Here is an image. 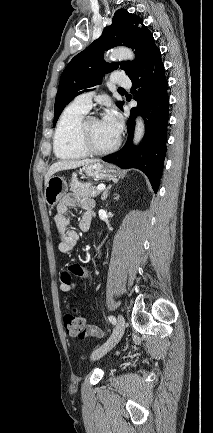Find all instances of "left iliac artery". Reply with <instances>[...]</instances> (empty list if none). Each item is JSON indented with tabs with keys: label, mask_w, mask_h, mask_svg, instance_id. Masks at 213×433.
Here are the masks:
<instances>
[{
	"label": "left iliac artery",
	"mask_w": 213,
	"mask_h": 433,
	"mask_svg": "<svg viewBox=\"0 0 213 433\" xmlns=\"http://www.w3.org/2000/svg\"><path fill=\"white\" fill-rule=\"evenodd\" d=\"M108 320L113 324V325H115L116 324V318L114 317V316H109L108 317Z\"/></svg>",
	"instance_id": "1"
}]
</instances>
